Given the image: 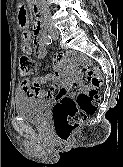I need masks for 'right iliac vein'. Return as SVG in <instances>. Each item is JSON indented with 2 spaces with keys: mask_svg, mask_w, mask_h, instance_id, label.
Masks as SVG:
<instances>
[{
  "mask_svg": "<svg viewBox=\"0 0 123 167\" xmlns=\"http://www.w3.org/2000/svg\"><path fill=\"white\" fill-rule=\"evenodd\" d=\"M51 34L54 36V35H57V33L55 31H51Z\"/></svg>",
  "mask_w": 123,
  "mask_h": 167,
  "instance_id": "63e3f726",
  "label": "right iliac vein"
}]
</instances>
